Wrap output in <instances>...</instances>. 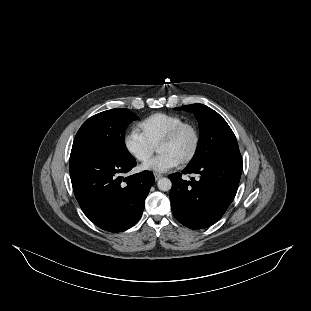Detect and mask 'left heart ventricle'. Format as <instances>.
Returning <instances> with one entry per match:
<instances>
[{
	"label": "left heart ventricle",
	"instance_id": "left-heart-ventricle-1",
	"mask_svg": "<svg viewBox=\"0 0 311 311\" xmlns=\"http://www.w3.org/2000/svg\"><path fill=\"white\" fill-rule=\"evenodd\" d=\"M195 131L192 127L186 128L178 139L170 144H162L157 147L159 153H170L180 162L190 155L195 145Z\"/></svg>",
	"mask_w": 311,
	"mask_h": 311
}]
</instances>
